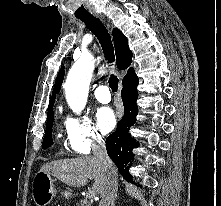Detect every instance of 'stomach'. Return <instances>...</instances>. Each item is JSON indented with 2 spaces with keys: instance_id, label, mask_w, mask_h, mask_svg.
<instances>
[{
  "instance_id": "stomach-1",
  "label": "stomach",
  "mask_w": 221,
  "mask_h": 206,
  "mask_svg": "<svg viewBox=\"0 0 221 206\" xmlns=\"http://www.w3.org/2000/svg\"><path fill=\"white\" fill-rule=\"evenodd\" d=\"M59 193L64 197L72 195L70 191L62 192L57 189L55 179L52 176L41 171L35 175L32 185V198L37 206H46Z\"/></svg>"
}]
</instances>
